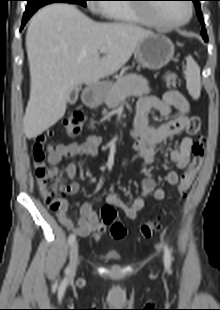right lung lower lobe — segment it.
Wrapping results in <instances>:
<instances>
[{
	"mask_svg": "<svg viewBox=\"0 0 220 310\" xmlns=\"http://www.w3.org/2000/svg\"><path fill=\"white\" fill-rule=\"evenodd\" d=\"M39 9V8H38ZM38 9H27L24 13L23 16V21H22V25H21V29L24 27V25L26 24V22L29 20V18L38 10Z\"/></svg>",
	"mask_w": 220,
	"mask_h": 310,
	"instance_id": "right-lung-lower-lobe-1",
	"label": "right lung lower lobe"
}]
</instances>
